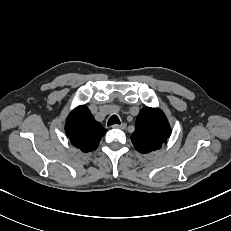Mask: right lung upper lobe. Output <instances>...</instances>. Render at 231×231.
<instances>
[{"label":"right lung upper lobe","instance_id":"1","mask_svg":"<svg viewBox=\"0 0 231 231\" xmlns=\"http://www.w3.org/2000/svg\"><path fill=\"white\" fill-rule=\"evenodd\" d=\"M65 131L75 147L90 152L98 147L107 130L94 119L85 105H81L69 114Z\"/></svg>","mask_w":231,"mask_h":231}]
</instances>
